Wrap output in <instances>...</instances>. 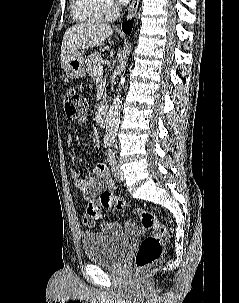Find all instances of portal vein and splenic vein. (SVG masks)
Returning <instances> with one entry per match:
<instances>
[{
    "mask_svg": "<svg viewBox=\"0 0 239 303\" xmlns=\"http://www.w3.org/2000/svg\"><path fill=\"white\" fill-rule=\"evenodd\" d=\"M97 75H98V77H101L103 75V68L102 67L98 68Z\"/></svg>",
    "mask_w": 239,
    "mask_h": 303,
    "instance_id": "portal-vein-and-splenic-vein-1",
    "label": "portal vein and splenic vein"
}]
</instances>
